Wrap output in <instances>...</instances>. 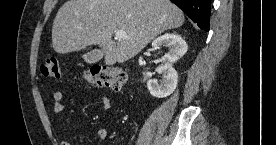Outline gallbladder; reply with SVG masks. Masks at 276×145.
Returning a JSON list of instances; mask_svg holds the SVG:
<instances>
[{
	"label": "gallbladder",
	"instance_id": "gallbladder-1",
	"mask_svg": "<svg viewBox=\"0 0 276 145\" xmlns=\"http://www.w3.org/2000/svg\"><path fill=\"white\" fill-rule=\"evenodd\" d=\"M103 58V52L99 49L91 50L83 55L86 63L92 64L100 61Z\"/></svg>",
	"mask_w": 276,
	"mask_h": 145
}]
</instances>
